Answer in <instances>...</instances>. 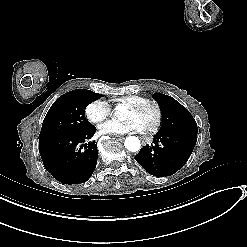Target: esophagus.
<instances>
[{"label": "esophagus", "instance_id": "esophagus-1", "mask_svg": "<svg viewBox=\"0 0 247 247\" xmlns=\"http://www.w3.org/2000/svg\"><path fill=\"white\" fill-rule=\"evenodd\" d=\"M139 142H142V145H145L146 144L145 141H143V138H140L139 139Z\"/></svg>", "mask_w": 247, "mask_h": 247}]
</instances>
